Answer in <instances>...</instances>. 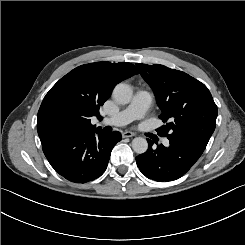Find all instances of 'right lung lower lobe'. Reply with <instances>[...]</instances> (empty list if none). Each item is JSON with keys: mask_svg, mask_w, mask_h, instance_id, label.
Wrapping results in <instances>:
<instances>
[{"mask_svg": "<svg viewBox=\"0 0 245 245\" xmlns=\"http://www.w3.org/2000/svg\"><path fill=\"white\" fill-rule=\"evenodd\" d=\"M119 132L97 129L57 137L43 145V152L54 170L65 179L86 183L100 177L107 168Z\"/></svg>", "mask_w": 245, "mask_h": 245, "instance_id": "1", "label": "right lung lower lobe"}]
</instances>
